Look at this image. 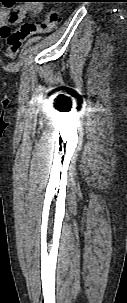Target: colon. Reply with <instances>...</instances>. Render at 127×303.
Masks as SVG:
<instances>
[{
	"label": "colon",
	"mask_w": 127,
	"mask_h": 303,
	"mask_svg": "<svg viewBox=\"0 0 127 303\" xmlns=\"http://www.w3.org/2000/svg\"><path fill=\"white\" fill-rule=\"evenodd\" d=\"M60 21L59 11L56 8L51 9L45 20L36 24L33 22H24L15 31L5 37L8 45V56L14 58L23 46V43L30 37L37 34L49 33Z\"/></svg>",
	"instance_id": "1"
}]
</instances>
